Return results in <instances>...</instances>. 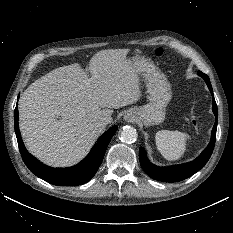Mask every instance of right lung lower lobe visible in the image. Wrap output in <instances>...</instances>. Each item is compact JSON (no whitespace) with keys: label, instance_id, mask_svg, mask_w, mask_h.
Returning a JSON list of instances; mask_svg holds the SVG:
<instances>
[{"label":"right lung lower lobe","instance_id":"98d812e1","mask_svg":"<svg viewBox=\"0 0 233 233\" xmlns=\"http://www.w3.org/2000/svg\"><path fill=\"white\" fill-rule=\"evenodd\" d=\"M14 128L22 159L29 170L48 183L60 186H76L88 182L101 165L106 148L118 129L113 126L105 132L79 164L67 168H52L39 162L26 150L19 131L17 105L14 111Z\"/></svg>","mask_w":233,"mask_h":233}]
</instances>
